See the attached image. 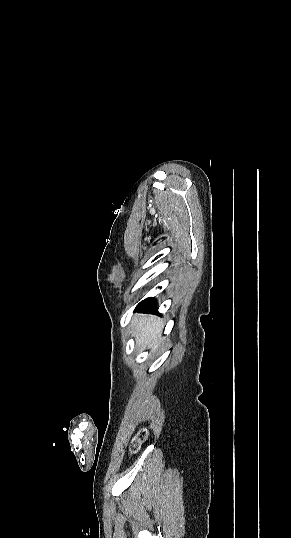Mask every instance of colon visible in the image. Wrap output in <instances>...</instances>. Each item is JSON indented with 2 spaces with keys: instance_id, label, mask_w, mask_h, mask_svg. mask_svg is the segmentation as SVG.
<instances>
[{
  "instance_id": "obj_1",
  "label": "colon",
  "mask_w": 291,
  "mask_h": 538,
  "mask_svg": "<svg viewBox=\"0 0 291 538\" xmlns=\"http://www.w3.org/2000/svg\"><path fill=\"white\" fill-rule=\"evenodd\" d=\"M147 437H148V432L146 430L143 429L139 431L136 439L133 442V449L137 450L140 447V445L147 439Z\"/></svg>"
}]
</instances>
